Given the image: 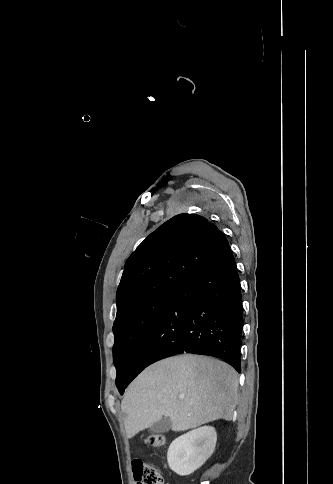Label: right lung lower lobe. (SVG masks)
I'll list each match as a JSON object with an SVG mask.
<instances>
[{"label":"right lung lower lobe","instance_id":"right-lung-lower-lobe-1","mask_svg":"<svg viewBox=\"0 0 333 484\" xmlns=\"http://www.w3.org/2000/svg\"><path fill=\"white\" fill-rule=\"evenodd\" d=\"M242 310L240 280L229 250L170 299L139 346L126 386L151 363L185 352L221 358L240 373Z\"/></svg>","mask_w":333,"mask_h":484}]
</instances>
